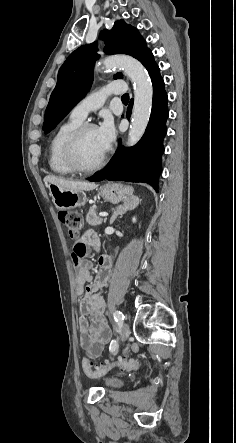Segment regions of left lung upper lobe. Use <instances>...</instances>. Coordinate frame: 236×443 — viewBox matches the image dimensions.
<instances>
[{"mask_svg": "<svg viewBox=\"0 0 236 443\" xmlns=\"http://www.w3.org/2000/svg\"><path fill=\"white\" fill-rule=\"evenodd\" d=\"M100 36L105 41L106 54H128L142 63L150 51L138 30L124 20L116 21L110 31H101ZM95 47V43L79 47L61 66L46 108L44 133L51 131L89 91L94 63L99 57ZM122 77V73L114 75V79Z\"/></svg>", "mask_w": 236, "mask_h": 443, "instance_id": "obj_1", "label": "left lung upper lobe"}]
</instances>
